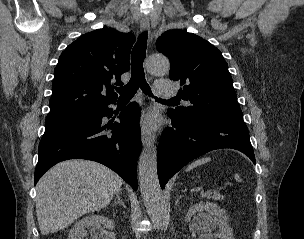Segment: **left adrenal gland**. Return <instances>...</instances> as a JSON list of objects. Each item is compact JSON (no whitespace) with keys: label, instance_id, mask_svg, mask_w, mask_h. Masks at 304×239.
I'll return each instance as SVG.
<instances>
[{"label":"left adrenal gland","instance_id":"a2214340","mask_svg":"<svg viewBox=\"0 0 304 239\" xmlns=\"http://www.w3.org/2000/svg\"><path fill=\"white\" fill-rule=\"evenodd\" d=\"M180 198H182V196H181V195H180V196H177V199H176V205L179 203Z\"/></svg>","mask_w":304,"mask_h":239}]
</instances>
